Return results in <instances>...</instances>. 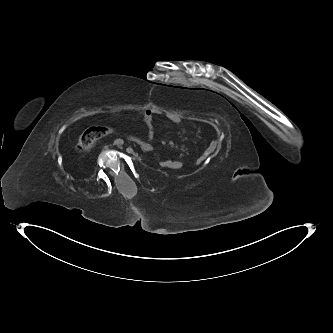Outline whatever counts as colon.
Instances as JSON below:
<instances>
[{
  "instance_id": "obj_1",
  "label": "colon",
  "mask_w": 333,
  "mask_h": 333,
  "mask_svg": "<svg viewBox=\"0 0 333 333\" xmlns=\"http://www.w3.org/2000/svg\"><path fill=\"white\" fill-rule=\"evenodd\" d=\"M111 132L112 128L107 126H92L88 128L79 137L77 143L78 150L82 152L89 151L99 139L110 134ZM159 166L163 168H172V159L166 158L165 160H160Z\"/></svg>"
}]
</instances>
